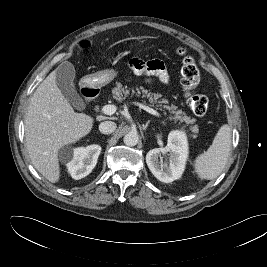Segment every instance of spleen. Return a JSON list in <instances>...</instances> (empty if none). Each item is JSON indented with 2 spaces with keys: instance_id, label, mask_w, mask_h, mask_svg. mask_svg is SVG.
I'll list each match as a JSON object with an SVG mask.
<instances>
[{
  "instance_id": "1",
  "label": "spleen",
  "mask_w": 267,
  "mask_h": 267,
  "mask_svg": "<svg viewBox=\"0 0 267 267\" xmlns=\"http://www.w3.org/2000/svg\"><path fill=\"white\" fill-rule=\"evenodd\" d=\"M231 149V130L225 124L218 130L212 145L194 161L195 172L201 180H212L223 171Z\"/></svg>"
}]
</instances>
